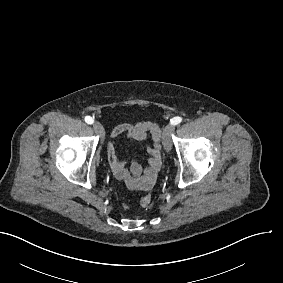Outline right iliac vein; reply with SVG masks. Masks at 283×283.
<instances>
[{"label":"right iliac vein","instance_id":"63e3f726","mask_svg":"<svg viewBox=\"0 0 283 283\" xmlns=\"http://www.w3.org/2000/svg\"><path fill=\"white\" fill-rule=\"evenodd\" d=\"M93 128L94 130L96 131V133H98L99 135H101L102 138H104V128L103 126L101 125V123L99 122H94L93 123Z\"/></svg>","mask_w":283,"mask_h":283}]
</instances>
